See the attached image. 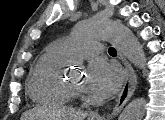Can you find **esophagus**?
Listing matches in <instances>:
<instances>
[{"instance_id":"obj_1","label":"esophagus","mask_w":165,"mask_h":120,"mask_svg":"<svg viewBox=\"0 0 165 120\" xmlns=\"http://www.w3.org/2000/svg\"><path fill=\"white\" fill-rule=\"evenodd\" d=\"M120 59L122 63L124 64L126 71H127V76L124 82V85L118 95L116 105L112 111L111 114L105 116H100L98 114H94L93 117L97 120H109L115 117L120 113L124 105L129 101L131 96L133 95L136 86H137V76L132 68L131 64L127 61V59L120 54Z\"/></svg>"}]
</instances>
